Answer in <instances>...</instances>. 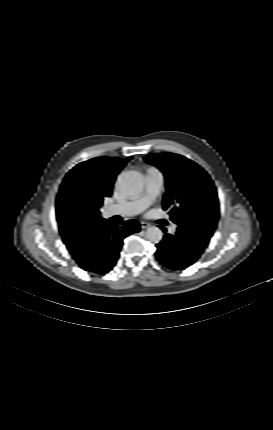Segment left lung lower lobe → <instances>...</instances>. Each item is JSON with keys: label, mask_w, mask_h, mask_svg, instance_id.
I'll use <instances>...</instances> for the list:
<instances>
[{"label": "left lung lower lobe", "mask_w": 273, "mask_h": 430, "mask_svg": "<svg viewBox=\"0 0 273 430\" xmlns=\"http://www.w3.org/2000/svg\"><path fill=\"white\" fill-rule=\"evenodd\" d=\"M156 247L159 262L172 270L187 268L197 261L204 251L201 245L179 229L174 235L165 234Z\"/></svg>", "instance_id": "1"}]
</instances>
